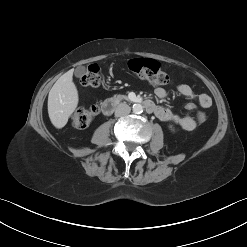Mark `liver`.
<instances>
[{
  "mask_svg": "<svg viewBox=\"0 0 247 247\" xmlns=\"http://www.w3.org/2000/svg\"><path fill=\"white\" fill-rule=\"evenodd\" d=\"M79 97L73 82V70L63 74L53 85L48 95V114L51 123L63 128L78 105Z\"/></svg>",
  "mask_w": 247,
  "mask_h": 247,
  "instance_id": "obj_1",
  "label": "liver"
}]
</instances>
